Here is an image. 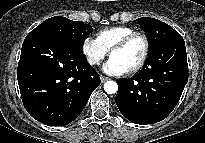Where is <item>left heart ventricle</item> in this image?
Wrapping results in <instances>:
<instances>
[{
    "label": "left heart ventricle",
    "instance_id": "left-heart-ventricle-1",
    "mask_svg": "<svg viewBox=\"0 0 205 143\" xmlns=\"http://www.w3.org/2000/svg\"><path fill=\"white\" fill-rule=\"evenodd\" d=\"M144 51L142 39L136 38L126 48L114 52L111 57L119 61L127 70L141 59Z\"/></svg>",
    "mask_w": 205,
    "mask_h": 143
}]
</instances>
